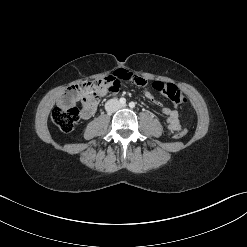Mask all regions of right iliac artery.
I'll use <instances>...</instances> for the list:
<instances>
[{"instance_id":"82829eb1","label":"right iliac artery","mask_w":247,"mask_h":247,"mask_svg":"<svg viewBox=\"0 0 247 247\" xmlns=\"http://www.w3.org/2000/svg\"><path fill=\"white\" fill-rule=\"evenodd\" d=\"M120 103L122 104V105H124V104H126V99L125 98H120Z\"/></svg>"}]
</instances>
